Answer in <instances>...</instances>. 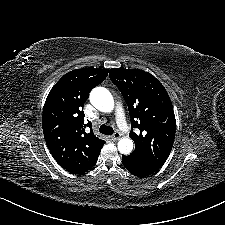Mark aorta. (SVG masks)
Returning <instances> with one entry per match:
<instances>
[{
  "label": "aorta",
  "mask_w": 225,
  "mask_h": 225,
  "mask_svg": "<svg viewBox=\"0 0 225 225\" xmlns=\"http://www.w3.org/2000/svg\"><path fill=\"white\" fill-rule=\"evenodd\" d=\"M90 102L100 111H110L114 104L111 93L104 87H96L91 91ZM118 150L124 155H129L133 151V141L129 138L119 140Z\"/></svg>",
  "instance_id": "762f6f07"
}]
</instances>
